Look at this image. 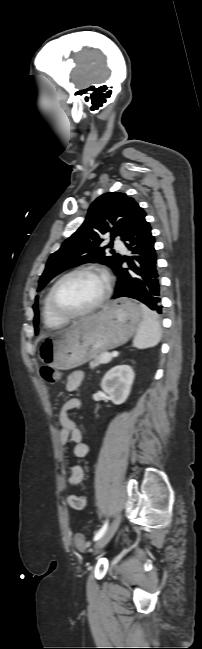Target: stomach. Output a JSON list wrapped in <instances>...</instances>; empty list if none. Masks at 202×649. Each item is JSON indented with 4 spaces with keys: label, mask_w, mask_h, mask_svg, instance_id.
<instances>
[{
    "label": "stomach",
    "mask_w": 202,
    "mask_h": 649,
    "mask_svg": "<svg viewBox=\"0 0 202 649\" xmlns=\"http://www.w3.org/2000/svg\"><path fill=\"white\" fill-rule=\"evenodd\" d=\"M142 319L140 303L115 300L97 315L44 338L38 349L39 359L58 370L78 367L99 353L126 343L138 331Z\"/></svg>",
    "instance_id": "obj_1"
}]
</instances>
